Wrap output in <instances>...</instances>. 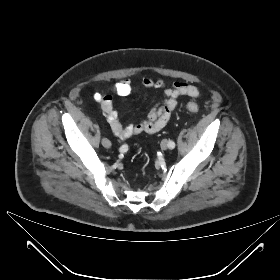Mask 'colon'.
I'll return each mask as SVG.
<instances>
[{
    "mask_svg": "<svg viewBox=\"0 0 280 280\" xmlns=\"http://www.w3.org/2000/svg\"><path fill=\"white\" fill-rule=\"evenodd\" d=\"M186 108L190 111V112H197L199 110V106L197 103L195 102H189L186 105Z\"/></svg>",
    "mask_w": 280,
    "mask_h": 280,
    "instance_id": "1",
    "label": "colon"
}]
</instances>
